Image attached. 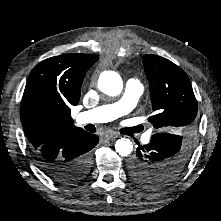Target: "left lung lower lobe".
<instances>
[{"label":"left lung lower lobe","instance_id":"obj_1","mask_svg":"<svg viewBox=\"0 0 221 221\" xmlns=\"http://www.w3.org/2000/svg\"><path fill=\"white\" fill-rule=\"evenodd\" d=\"M172 139L173 135L169 133H159L152 136L151 142L149 144L138 146L136 150V155L131 159L129 164L130 175L136 182L139 183L141 175L143 173L160 172L158 163L161 151L163 150L164 142H168ZM151 175H156V174H151ZM171 182L172 181H170L169 183ZM151 188H160V187H151Z\"/></svg>","mask_w":221,"mask_h":221}]
</instances>
